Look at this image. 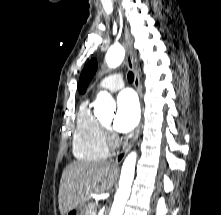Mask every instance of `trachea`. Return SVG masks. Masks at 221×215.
I'll list each match as a JSON object with an SVG mask.
<instances>
[{"label":"trachea","instance_id":"3493384b","mask_svg":"<svg viewBox=\"0 0 221 215\" xmlns=\"http://www.w3.org/2000/svg\"><path fill=\"white\" fill-rule=\"evenodd\" d=\"M127 78H128V81L129 82H133L134 80V74L132 72H129L128 75H127Z\"/></svg>","mask_w":221,"mask_h":215}]
</instances>
